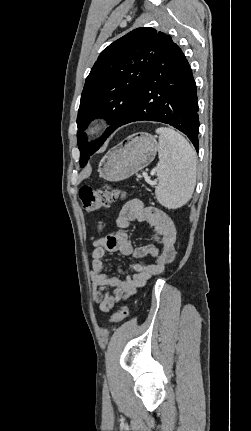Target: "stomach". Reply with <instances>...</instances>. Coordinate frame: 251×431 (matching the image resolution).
I'll list each match as a JSON object with an SVG mask.
<instances>
[{
    "label": "stomach",
    "mask_w": 251,
    "mask_h": 431,
    "mask_svg": "<svg viewBox=\"0 0 251 431\" xmlns=\"http://www.w3.org/2000/svg\"><path fill=\"white\" fill-rule=\"evenodd\" d=\"M158 143L148 133H136L109 150L99 165L100 177L118 182L148 166L155 158Z\"/></svg>",
    "instance_id": "1"
}]
</instances>
